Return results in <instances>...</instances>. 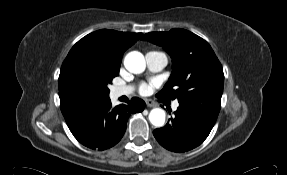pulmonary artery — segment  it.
<instances>
[{
  "instance_id": "pulmonary-artery-1",
  "label": "pulmonary artery",
  "mask_w": 287,
  "mask_h": 175,
  "mask_svg": "<svg viewBox=\"0 0 287 175\" xmlns=\"http://www.w3.org/2000/svg\"><path fill=\"white\" fill-rule=\"evenodd\" d=\"M146 61L149 70L153 72L161 71L168 63L167 55L162 51H149L146 54ZM133 92L132 86H117L112 89V96L118 98L124 95H129ZM179 107V103L173 104V109L176 110Z\"/></svg>"
}]
</instances>
